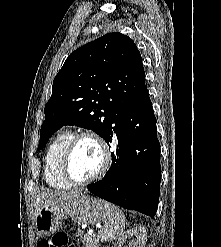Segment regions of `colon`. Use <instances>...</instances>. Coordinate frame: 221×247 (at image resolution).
I'll return each instance as SVG.
<instances>
[{"label":"colon","instance_id":"obj_1","mask_svg":"<svg viewBox=\"0 0 221 247\" xmlns=\"http://www.w3.org/2000/svg\"><path fill=\"white\" fill-rule=\"evenodd\" d=\"M67 237L64 234H56L48 240L39 243V247H66Z\"/></svg>","mask_w":221,"mask_h":247}]
</instances>
